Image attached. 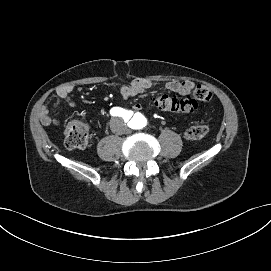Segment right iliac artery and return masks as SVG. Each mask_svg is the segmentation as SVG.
<instances>
[{
  "instance_id": "obj_1",
  "label": "right iliac artery",
  "mask_w": 271,
  "mask_h": 271,
  "mask_svg": "<svg viewBox=\"0 0 271 271\" xmlns=\"http://www.w3.org/2000/svg\"><path fill=\"white\" fill-rule=\"evenodd\" d=\"M131 113V114H130ZM110 114L112 116H119V117H123L126 120H129L130 117L132 116V112L126 111L123 108L120 107H113L110 110Z\"/></svg>"
}]
</instances>
